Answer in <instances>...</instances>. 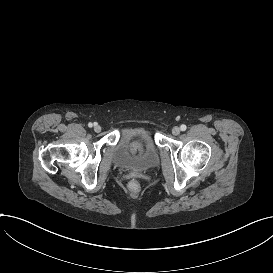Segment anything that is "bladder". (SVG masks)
Wrapping results in <instances>:
<instances>
[{
	"mask_svg": "<svg viewBox=\"0 0 273 273\" xmlns=\"http://www.w3.org/2000/svg\"><path fill=\"white\" fill-rule=\"evenodd\" d=\"M137 137L145 145L144 154L140 157H132L126 154L128 143ZM113 163L123 169L135 172H145L154 168L159 163V152L152 135L143 129L125 131L119 136L117 143L112 150Z\"/></svg>",
	"mask_w": 273,
	"mask_h": 273,
	"instance_id": "31cf9c89",
	"label": "bladder"
}]
</instances>
